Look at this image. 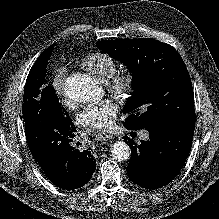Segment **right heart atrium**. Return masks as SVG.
<instances>
[{
    "label": "right heart atrium",
    "mask_w": 219,
    "mask_h": 219,
    "mask_svg": "<svg viewBox=\"0 0 219 219\" xmlns=\"http://www.w3.org/2000/svg\"><path fill=\"white\" fill-rule=\"evenodd\" d=\"M67 75H68L67 69L65 67H59L53 76L52 87L54 92L59 96L63 95ZM67 104L69 106L71 105L69 103Z\"/></svg>",
    "instance_id": "obj_1"
}]
</instances>
